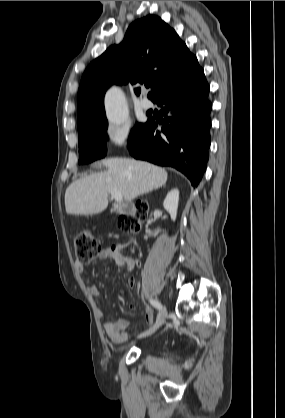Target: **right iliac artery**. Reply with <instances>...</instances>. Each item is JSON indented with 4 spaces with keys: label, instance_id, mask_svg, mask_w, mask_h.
<instances>
[{
    "label": "right iliac artery",
    "instance_id": "1",
    "mask_svg": "<svg viewBox=\"0 0 285 418\" xmlns=\"http://www.w3.org/2000/svg\"><path fill=\"white\" fill-rule=\"evenodd\" d=\"M150 303L155 307V308H157V309H161L162 308V306H161V303L159 302V301H157V300H150Z\"/></svg>",
    "mask_w": 285,
    "mask_h": 418
}]
</instances>
